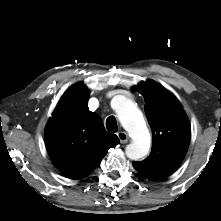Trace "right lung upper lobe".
Wrapping results in <instances>:
<instances>
[{
  "instance_id": "1",
  "label": "right lung upper lobe",
  "mask_w": 221,
  "mask_h": 221,
  "mask_svg": "<svg viewBox=\"0 0 221 221\" xmlns=\"http://www.w3.org/2000/svg\"><path fill=\"white\" fill-rule=\"evenodd\" d=\"M89 91L82 82L61 97L45 128V141L54 165L67 177L82 179L95 169L108 150L119 143L102 119L88 109Z\"/></svg>"
}]
</instances>
